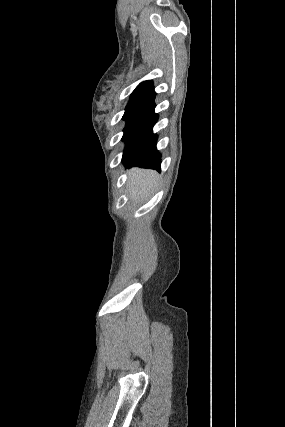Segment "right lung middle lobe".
Here are the masks:
<instances>
[{
  "instance_id": "dd1d6c3e",
  "label": "right lung middle lobe",
  "mask_w": 285,
  "mask_h": 427,
  "mask_svg": "<svg viewBox=\"0 0 285 427\" xmlns=\"http://www.w3.org/2000/svg\"><path fill=\"white\" fill-rule=\"evenodd\" d=\"M146 117L147 116H137L125 119L127 123L122 137V140L126 142L122 158L124 164L129 163L134 158L141 146Z\"/></svg>"
}]
</instances>
